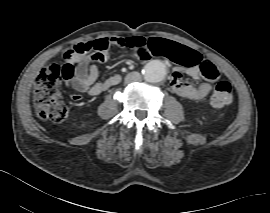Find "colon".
Wrapping results in <instances>:
<instances>
[{"label": "colon", "instance_id": "1", "mask_svg": "<svg viewBox=\"0 0 270 213\" xmlns=\"http://www.w3.org/2000/svg\"><path fill=\"white\" fill-rule=\"evenodd\" d=\"M120 47L132 50L136 57L140 58V53L147 47L146 40L142 37L120 38ZM82 49L78 51L70 49L65 53V59L76 57ZM141 59V58H140ZM201 72L205 79L215 81L217 79V69L210 61H203ZM74 75L73 66L64 62L63 64H52L42 68L34 82L33 101L39 117L52 122H62L68 116V108L65 105L60 90V84L64 80L72 78ZM232 89L227 81H220L215 84L211 96L213 107H226L232 102Z\"/></svg>", "mask_w": 270, "mask_h": 213}]
</instances>
